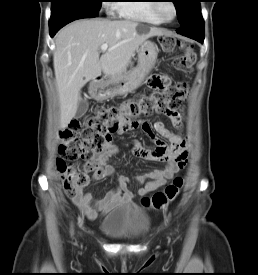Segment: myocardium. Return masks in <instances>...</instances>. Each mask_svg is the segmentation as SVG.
I'll return each mask as SVG.
<instances>
[{"label":"myocardium","mask_w":258,"mask_h":275,"mask_svg":"<svg viewBox=\"0 0 258 275\" xmlns=\"http://www.w3.org/2000/svg\"><path fill=\"white\" fill-rule=\"evenodd\" d=\"M157 3H154L153 4V11L154 13L156 14V16L164 23H170L172 21H174L176 18H177V15H178V9H177V6L174 2L172 1H169L168 3L171 4V6L173 7V10H174V14H173V17L170 18V19H167L165 17H163L160 13V6H161V2L163 1H156Z\"/></svg>","instance_id":"f54148a6"}]
</instances>
